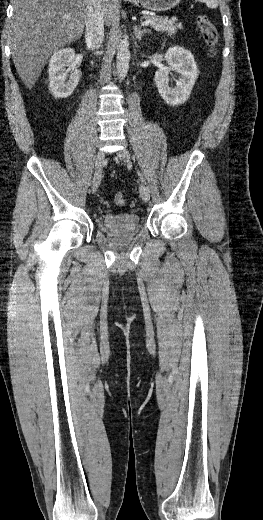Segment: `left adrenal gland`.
<instances>
[{
    "label": "left adrenal gland",
    "mask_w": 263,
    "mask_h": 520,
    "mask_svg": "<svg viewBox=\"0 0 263 520\" xmlns=\"http://www.w3.org/2000/svg\"><path fill=\"white\" fill-rule=\"evenodd\" d=\"M133 29H134V35L138 41L141 40L142 35H144L146 33H151V31L149 29H146V28L142 29L141 27L137 28L136 25L133 27Z\"/></svg>",
    "instance_id": "obj_1"
}]
</instances>
